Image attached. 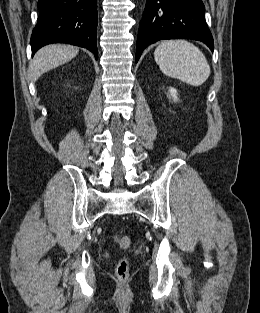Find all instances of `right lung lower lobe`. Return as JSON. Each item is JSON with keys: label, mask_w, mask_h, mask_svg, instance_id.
Returning a JSON list of instances; mask_svg holds the SVG:
<instances>
[{"label": "right lung lower lobe", "mask_w": 260, "mask_h": 313, "mask_svg": "<svg viewBox=\"0 0 260 313\" xmlns=\"http://www.w3.org/2000/svg\"><path fill=\"white\" fill-rule=\"evenodd\" d=\"M39 17L31 36L32 54L51 43L90 50L97 59V1L39 0Z\"/></svg>", "instance_id": "right-lung-lower-lobe-1"}]
</instances>
